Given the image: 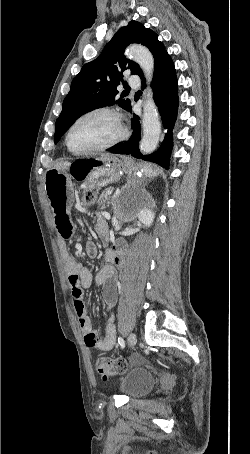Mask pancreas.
Instances as JSON below:
<instances>
[{
	"label": "pancreas",
	"mask_w": 250,
	"mask_h": 454,
	"mask_svg": "<svg viewBox=\"0 0 250 454\" xmlns=\"http://www.w3.org/2000/svg\"><path fill=\"white\" fill-rule=\"evenodd\" d=\"M111 188H107L106 190H104L99 198V207L101 209H104L105 208V197L111 192Z\"/></svg>",
	"instance_id": "obj_1"
}]
</instances>
